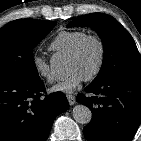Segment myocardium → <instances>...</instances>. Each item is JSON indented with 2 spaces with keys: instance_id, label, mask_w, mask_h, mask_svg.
Instances as JSON below:
<instances>
[{
  "instance_id": "1",
  "label": "myocardium",
  "mask_w": 141,
  "mask_h": 141,
  "mask_svg": "<svg viewBox=\"0 0 141 141\" xmlns=\"http://www.w3.org/2000/svg\"><path fill=\"white\" fill-rule=\"evenodd\" d=\"M89 42H94L98 46L99 50V59L96 68L88 76L84 78L85 81H92L99 76L102 72L105 58H106V49L102 39L96 35H86L83 37L75 46V48L70 52V58H77L82 53L83 49Z\"/></svg>"
}]
</instances>
